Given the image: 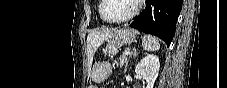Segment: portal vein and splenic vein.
<instances>
[{
  "label": "portal vein and splenic vein",
  "mask_w": 227,
  "mask_h": 88,
  "mask_svg": "<svg viewBox=\"0 0 227 88\" xmlns=\"http://www.w3.org/2000/svg\"><path fill=\"white\" fill-rule=\"evenodd\" d=\"M125 55L126 56L130 55V51H125Z\"/></svg>",
  "instance_id": "1"
}]
</instances>
